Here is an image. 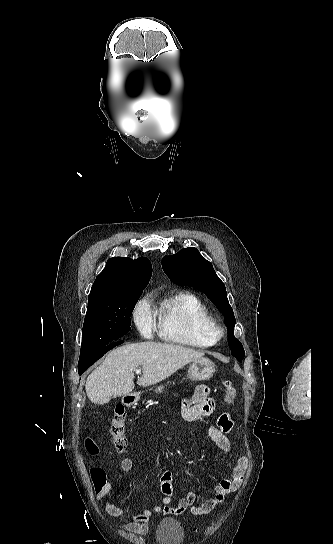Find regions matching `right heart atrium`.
Here are the masks:
<instances>
[{
  "label": "right heart atrium",
  "mask_w": 333,
  "mask_h": 544,
  "mask_svg": "<svg viewBox=\"0 0 333 544\" xmlns=\"http://www.w3.org/2000/svg\"><path fill=\"white\" fill-rule=\"evenodd\" d=\"M134 321L139 332L149 338L156 330V319L148 302L143 300L138 303L134 311Z\"/></svg>",
  "instance_id": "obj_1"
}]
</instances>
